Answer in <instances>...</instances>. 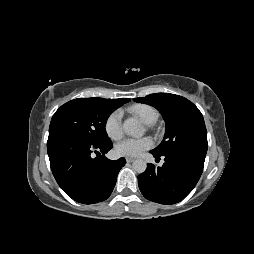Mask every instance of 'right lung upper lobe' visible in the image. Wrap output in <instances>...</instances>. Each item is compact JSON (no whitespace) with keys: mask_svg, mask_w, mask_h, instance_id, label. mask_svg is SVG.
I'll return each mask as SVG.
<instances>
[{"mask_svg":"<svg viewBox=\"0 0 254 254\" xmlns=\"http://www.w3.org/2000/svg\"><path fill=\"white\" fill-rule=\"evenodd\" d=\"M130 99L128 98H120V99H109V102L117 109L118 107L122 106L123 104L129 102Z\"/></svg>","mask_w":254,"mask_h":254,"instance_id":"obj_1","label":"right lung upper lobe"}]
</instances>
